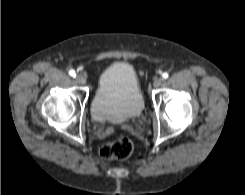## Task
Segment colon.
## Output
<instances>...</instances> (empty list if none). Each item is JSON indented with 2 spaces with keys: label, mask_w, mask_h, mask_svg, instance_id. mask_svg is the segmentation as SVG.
<instances>
[{
  "label": "colon",
  "mask_w": 245,
  "mask_h": 195,
  "mask_svg": "<svg viewBox=\"0 0 245 195\" xmlns=\"http://www.w3.org/2000/svg\"><path fill=\"white\" fill-rule=\"evenodd\" d=\"M134 143L130 136L120 135L114 141L103 145L99 154L106 160H122L133 152Z\"/></svg>",
  "instance_id": "5ec220e1"
}]
</instances>
